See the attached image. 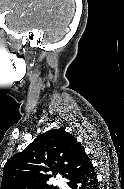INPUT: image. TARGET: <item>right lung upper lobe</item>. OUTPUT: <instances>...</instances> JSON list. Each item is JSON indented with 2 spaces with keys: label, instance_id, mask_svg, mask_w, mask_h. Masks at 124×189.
I'll return each mask as SVG.
<instances>
[{
  "label": "right lung upper lobe",
  "instance_id": "cb5924a9",
  "mask_svg": "<svg viewBox=\"0 0 124 189\" xmlns=\"http://www.w3.org/2000/svg\"><path fill=\"white\" fill-rule=\"evenodd\" d=\"M89 162L74 136L62 128L49 130L6 162L1 189H38L48 185L52 176L47 172L59 173L68 179Z\"/></svg>",
  "mask_w": 124,
  "mask_h": 189
}]
</instances>
